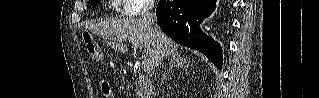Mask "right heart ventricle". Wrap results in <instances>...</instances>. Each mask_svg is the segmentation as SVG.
<instances>
[{"instance_id":"right-heart-ventricle-1","label":"right heart ventricle","mask_w":319,"mask_h":98,"mask_svg":"<svg viewBox=\"0 0 319 98\" xmlns=\"http://www.w3.org/2000/svg\"><path fill=\"white\" fill-rule=\"evenodd\" d=\"M115 3H116V4H119V3H120V1H115Z\"/></svg>"}]
</instances>
